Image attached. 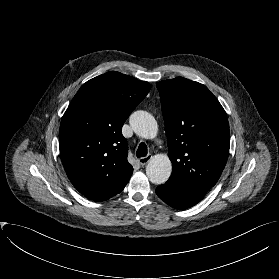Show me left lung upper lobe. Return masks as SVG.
Masks as SVG:
<instances>
[{
    "mask_svg": "<svg viewBox=\"0 0 279 279\" xmlns=\"http://www.w3.org/2000/svg\"><path fill=\"white\" fill-rule=\"evenodd\" d=\"M173 172L169 181L207 193L229 155L225 110L209 89L177 77L157 84Z\"/></svg>",
    "mask_w": 279,
    "mask_h": 279,
    "instance_id": "1",
    "label": "left lung upper lobe"
}]
</instances>
